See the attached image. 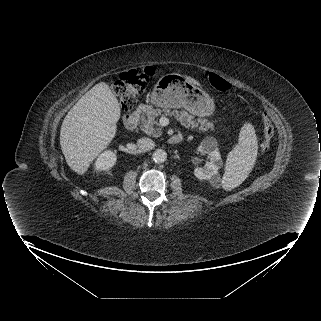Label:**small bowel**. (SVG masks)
Listing matches in <instances>:
<instances>
[{
	"instance_id": "small-bowel-1",
	"label": "small bowel",
	"mask_w": 321,
	"mask_h": 321,
	"mask_svg": "<svg viewBox=\"0 0 321 321\" xmlns=\"http://www.w3.org/2000/svg\"><path fill=\"white\" fill-rule=\"evenodd\" d=\"M247 107H248V108H251L250 104H247Z\"/></svg>"
}]
</instances>
